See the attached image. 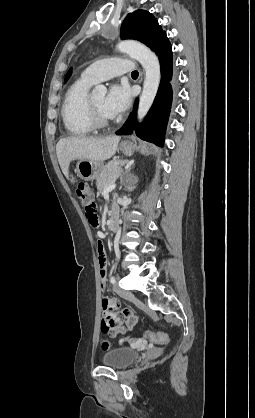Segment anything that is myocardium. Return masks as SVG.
Returning a JSON list of instances; mask_svg holds the SVG:
<instances>
[{
  "mask_svg": "<svg viewBox=\"0 0 255 418\" xmlns=\"http://www.w3.org/2000/svg\"><path fill=\"white\" fill-rule=\"evenodd\" d=\"M88 112L94 128H106L111 124L109 119H106L100 115L90 96L88 97Z\"/></svg>",
  "mask_w": 255,
  "mask_h": 418,
  "instance_id": "f54148a6",
  "label": "myocardium"
}]
</instances>
